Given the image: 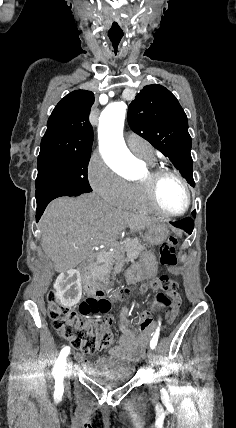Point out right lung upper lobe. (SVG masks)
Listing matches in <instances>:
<instances>
[{"instance_id":"right-lung-upper-lobe-1","label":"right lung upper lobe","mask_w":236,"mask_h":428,"mask_svg":"<svg viewBox=\"0 0 236 428\" xmlns=\"http://www.w3.org/2000/svg\"><path fill=\"white\" fill-rule=\"evenodd\" d=\"M93 102L91 91L76 90L66 95L48 120L40 154H91L93 128L88 117Z\"/></svg>"}]
</instances>
